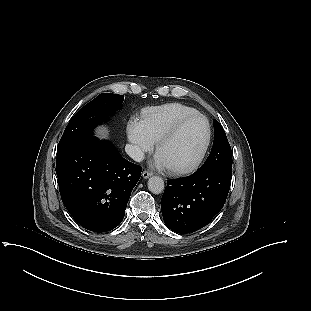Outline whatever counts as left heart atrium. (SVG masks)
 I'll list each match as a JSON object with an SVG mask.
<instances>
[{"mask_svg":"<svg viewBox=\"0 0 311 311\" xmlns=\"http://www.w3.org/2000/svg\"><path fill=\"white\" fill-rule=\"evenodd\" d=\"M155 165L162 167V168L167 167L164 161L162 160V158L158 154L155 157Z\"/></svg>","mask_w":311,"mask_h":311,"instance_id":"1","label":"left heart atrium"}]
</instances>
